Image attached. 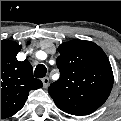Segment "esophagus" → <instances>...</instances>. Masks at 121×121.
<instances>
[{
  "mask_svg": "<svg viewBox=\"0 0 121 121\" xmlns=\"http://www.w3.org/2000/svg\"><path fill=\"white\" fill-rule=\"evenodd\" d=\"M42 82H43V87H44V88H47L48 85H49V78H48V77H44V78L42 79Z\"/></svg>",
  "mask_w": 121,
  "mask_h": 121,
  "instance_id": "34e87169",
  "label": "esophagus"
}]
</instances>
